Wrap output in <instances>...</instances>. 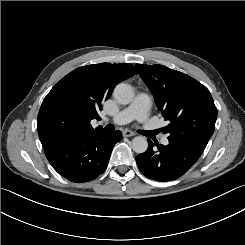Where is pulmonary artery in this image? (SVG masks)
Returning <instances> with one entry per match:
<instances>
[{"label":"pulmonary artery","mask_w":245,"mask_h":245,"mask_svg":"<svg viewBox=\"0 0 245 245\" xmlns=\"http://www.w3.org/2000/svg\"><path fill=\"white\" fill-rule=\"evenodd\" d=\"M151 108V100L145 94H138L135 99L118 114L112 118V122L116 124H125L137 119L139 122H146L149 117V110ZM159 144L161 146H168L170 144V137L168 134L163 133L159 137Z\"/></svg>","instance_id":"pulmonary-artery-1"}]
</instances>
